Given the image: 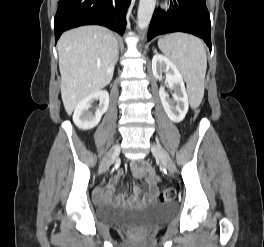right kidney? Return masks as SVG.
Wrapping results in <instances>:
<instances>
[{
	"label": "right kidney",
	"mask_w": 264,
	"mask_h": 247,
	"mask_svg": "<svg viewBox=\"0 0 264 247\" xmlns=\"http://www.w3.org/2000/svg\"><path fill=\"white\" fill-rule=\"evenodd\" d=\"M99 100V106L93 114L90 111L91 104ZM109 106V94L102 90L90 94L82 99L76 106L73 114V122L82 130H89L98 125L101 116L107 111Z\"/></svg>",
	"instance_id": "right-kidney-1"
}]
</instances>
